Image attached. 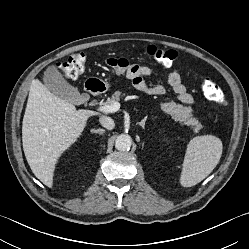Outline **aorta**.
Segmentation results:
<instances>
[{
	"label": "aorta",
	"instance_id": "762f6f07",
	"mask_svg": "<svg viewBox=\"0 0 249 249\" xmlns=\"http://www.w3.org/2000/svg\"><path fill=\"white\" fill-rule=\"evenodd\" d=\"M132 138L128 134H121L115 140V148L119 151H126L131 148Z\"/></svg>",
	"mask_w": 249,
	"mask_h": 249
}]
</instances>
